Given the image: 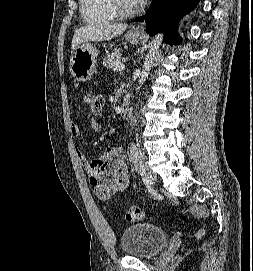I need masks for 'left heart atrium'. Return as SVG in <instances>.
I'll return each mask as SVG.
<instances>
[{
    "instance_id": "left-heart-atrium-1",
    "label": "left heart atrium",
    "mask_w": 253,
    "mask_h": 271,
    "mask_svg": "<svg viewBox=\"0 0 253 271\" xmlns=\"http://www.w3.org/2000/svg\"><path fill=\"white\" fill-rule=\"evenodd\" d=\"M146 0H135V2L138 4V5H141L145 2Z\"/></svg>"
}]
</instances>
